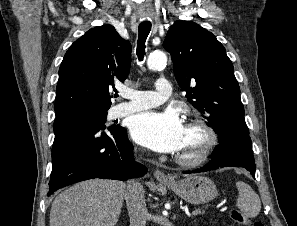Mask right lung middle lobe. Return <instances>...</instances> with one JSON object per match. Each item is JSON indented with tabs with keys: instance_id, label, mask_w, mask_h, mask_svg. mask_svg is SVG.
Masks as SVG:
<instances>
[{
	"instance_id": "1",
	"label": "right lung middle lobe",
	"mask_w": 297,
	"mask_h": 226,
	"mask_svg": "<svg viewBox=\"0 0 297 226\" xmlns=\"http://www.w3.org/2000/svg\"><path fill=\"white\" fill-rule=\"evenodd\" d=\"M88 113V116L93 120L96 121L98 124H100L103 127H106L104 125L106 121L107 116V110H98V111H86ZM115 126H110L109 128H114Z\"/></svg>"
}]
</instances>
